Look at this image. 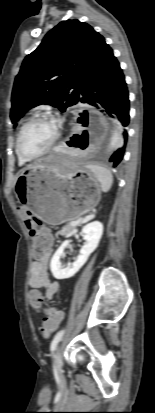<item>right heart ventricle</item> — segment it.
<instances>
[{"label": "right heart ventricle", "mask_w": 155, "mask_h": 413, "mask_svg": "<svg viewBox=\"0 0 155 413\" xmlns=\"http://www.w3.org/2000/svg\"><path fill=\"white\" fill-rule=\"evenodd\" d=\"M15 152H16V155H17V159H18L19 164H24V163H26V162L28 161V160L23 159V158L18 154L16 142H15Z\"/></svg>", "instance_id": "e07e8e85"}]
</instances>
